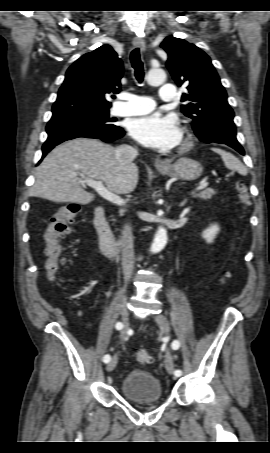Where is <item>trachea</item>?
<instances>
[{
	"mask_svg": "<svg viewBox=\"0 0 270 453\" xmlns=\"http://www.w3.org/2000/svg\"><path fill=\"white\" fill-rule=\"evenodd\" d=\"M131 65L134 68L135 78L139 83L144 79V68L140 57V51L138 48L134 49L130 54Z\"/></svg>",
	"mask_w": 270,
	"mask_h": 453,
	"instance_id": "3493384b",
	"label": "trachea"
}]
</instances>
